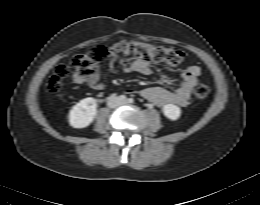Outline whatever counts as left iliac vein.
<instances>
[{
	"instance_id": "1",
	"label": "left iliac vein",
	"mask_w": 260,
	"mask_h": 205,
	"mask_svg": "<svg viewBox=\"0 0 260 205\" xmlns=\"http://www.w3.org/2000/svg\"><path fill=\"white\" fill-rule=\"evenodd\" d=\"M127 103V100H120L119 101V104H126Z\"/></svg>"
}]
</instances>
